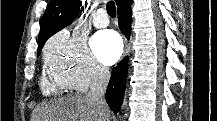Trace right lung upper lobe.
<instances>
[{
    "label": "right lung upper lobe",
    "instance_id": "obj_1",
    "mask_svg": "<svg viewBox=\"0 0 217 121\" xmlns=\"http://www.w3.org/2000/svg\"><path fill=\"white\" fill-rule=\"evenodd\" d=\"M115 1L119 4L123 0ZM81 4L79 0H50L40 24L38 52L48 38L75 20Z\"/></svg>",
    "mask_w": 217,
    "mask_h": 121
}]
</instances>
